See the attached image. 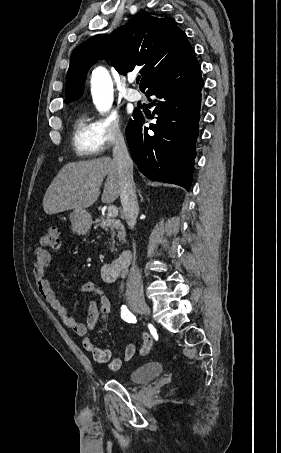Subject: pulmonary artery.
I'll return each instance as SVG.
<instances>
[{"label":"pulmonary artery","mask_w":281,"mask_h":453,"mask_svg":"<svg viewBox=\"0 0 281 453\" xmlns=\"http://www.w3.org/2000/svg\"><path fill=\"white\" fill-rule=\"evenodd\" d=\"M134 82V77H129V83ZM124 97L133 102L141 101L143 100V95L136 89L128 87L124 91Z\"/></svg>","instance_id":"e3ab8cb5"}]
</instances>
